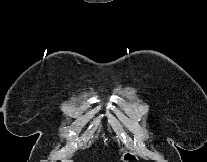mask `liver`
Wrapping results in <instances>:
<instances>
[{
	"mask_svg": "<svg viewBox=\"0 0 207 162\" xmlns=\"http://www.w3.org/2000/svg\"><path fill=\"white\" fill-rule=\"evenodd\" d=\"M66 162H73V161L69 160V161H66Z\"/></svg>",
	"mask_w": 207,
	"mask_h": 162,
	"instance_id": "1",
	"label": "liver"
}]
</instances>
